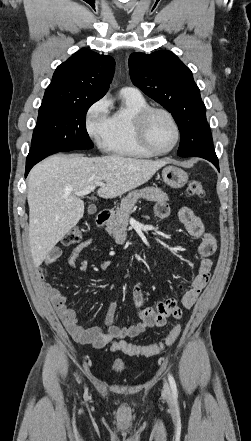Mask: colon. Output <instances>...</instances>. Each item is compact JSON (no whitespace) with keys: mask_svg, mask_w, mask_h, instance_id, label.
Segmentation results:
<instances>
[{"mask_svg":"<svg viewBox=\"0 0 251 441\" xmlns=\"http://www.w3.org/2000/svg\"><path fill=\"white\" fill-rule=\"evenodd\" d=\"M188 194L192 197L205 198V190L200 180L192 179L188 183ZM83 231L79 227H75L67 232L61 239V245L71 246L78 243L82 239ZM182 328L176 325L172 330L159 342L149 345H134L125 341L114 342L111 346L113 351H122L130 356H151L172 345L180 336Z\"/></svg>","mask_w":251,"mask_h":441,"instance_id":"obj_1","label":"colon"}]
</instances>
